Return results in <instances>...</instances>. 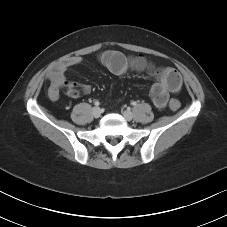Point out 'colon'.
<instances>
[{
    "mask_svg": "<svg viewBox=\"0 0 227 227\" xmlns=\"http://www.w3.org/2000/svg\"><path fill=\"white\" fill-rule=\"evenodd\" d=\"M158 78L170 86H177L180 84V76L178 72L170 67L162 68L158 72ZM180 106V102L177 99H171L169 101V108L173 111H177Z\"/></svg>",
    "mask_w": 227,
    "mask_h": 227,
    "instance_id": "5ec220e1",
    "label": "colon"
}]
</instances>
